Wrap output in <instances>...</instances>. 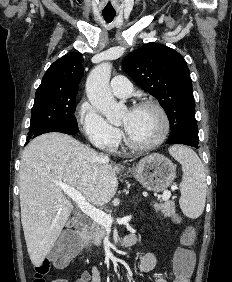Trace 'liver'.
<instances>
[{"label":"liver","instance_id":"6515ba94","mask_svg":"<svg viewBox=\"0 0 232 282\" xmlns=\"http://www.w3.org/2000/svg\"><path fill=\"white\" fill-rule=\"evenodd\" d=\"M118 165L101 160L93 149L66 134L51 132L33 139L20 165L21 222L29 257L40 266L72 210L58 184L77 189L92 206L116 194Z\"/></svg>","mask_w":232,"mask_h":282}]
</instances>
